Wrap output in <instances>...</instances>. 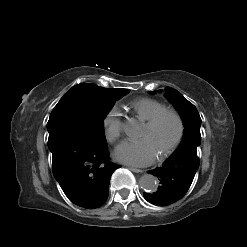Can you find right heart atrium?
<instances>
[{
    "label": "right heart atrium",
    "instance_id": "obj_1",
    "mask_svg": "<svg viewBox=\"0 0 247 247\" xmlns=\"http://www.w3.org/2000/svg\"><path fill=\"white\" fill-rule=\"evenodd\" d=\"M121 110L118 106H113L103 118V133L109 143H115L122 133Z\"/></svg>",
    "mask_w": 247,
    "mask_h": 247
}]
</instances>
